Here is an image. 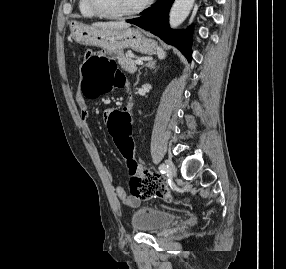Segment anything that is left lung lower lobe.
Segmentation results:
<instances>
[{
  "mask_svg": "<svg viewBox=\"0 0 286 269\" xmlns=\"http://www.w3.org/2000/svg\"><path fill=\"white\" fill-rule=\"evenodd\" d=\"M174 0H158L152 7L143 11L144 15L127 20L160 37L166 43L176 46L190 61L192 28L174 31L169 28V9Z\"/></svg>",
  "mask_w": 286,
  "mask_h": 269,
  "instance_id": "0a47b994",
  "label": "left lung lower lobe"
}]
</instances>
